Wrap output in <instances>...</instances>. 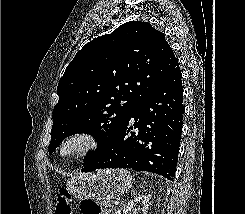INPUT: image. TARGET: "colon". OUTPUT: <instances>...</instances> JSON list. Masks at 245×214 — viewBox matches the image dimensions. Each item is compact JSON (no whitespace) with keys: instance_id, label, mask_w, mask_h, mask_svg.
Here are the masks:
<instances>
[{"instance_id":"5ec220e1","label":"colon","mask_w":245,"mask_h":214,"mask_svg":"<svg viewBox=\"0 0 245 214\" xmlns=\"http://www.w3.org/2000/svg\"><path fill=\"white\" fill-rule=\"evenodd\" d=\"M82 214H106L107 209L93 199H84L80 205ZM55 214H72L71 195L62 189L56 199Z\"/></svg>"}]
</instances>
